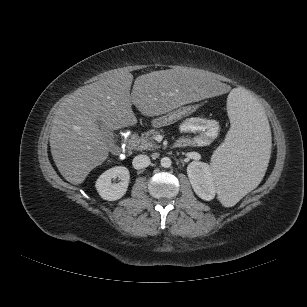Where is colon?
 Masks as SVG:
<instances>
[{
  "instance_id": "5ec220e1",
  "label": "colon",
  "mask_w": 307,
  "mask_h": 307,
  "mask_svg": "<svg viewBox=\"0 0 307 307\" xmlns=\"http://www.w3.org/2000/svg\"><path fill=\"white\" fill-rule=\"evenodd\" d=\"M125 140H126V134H125V133H122V144L125 143Z\"/></svg>"
}]
</instances>
